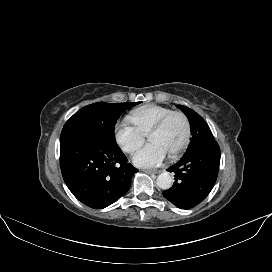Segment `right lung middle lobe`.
Masks as SVG:
<instances>
[{
    "mask_svg": "<svg viewBox=\"0 0 272 272\" xmlns=\"http://www.w3.org/2000/svg\"><path fill=\"white\" fill-rule=\"evenodd\" d=\"M133 103H103L87 105L77 111L65 123L63 130L82 129L95 133L105 140L116 144L114 127L118 118L127 109L139 104Z\"/></svg>",
    "mask_w": 272,
    "mask_h": 272,
    "instance_id": "right-lung-middle-lobe-1",
    "label": "right lung middle lobe"
}]
</instances>
